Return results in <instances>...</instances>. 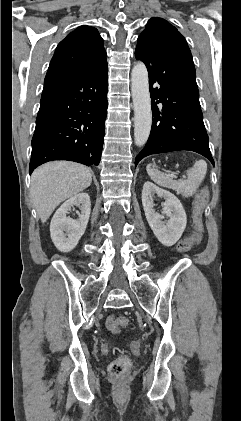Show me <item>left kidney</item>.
<instances>
[{
	"mask_svg": "<svg viewBox=\"0 0 241 421\" xmlns=\"http://www.w3.org/2000/svg\"><path fill=\"white\" fill-rule=\"evenodd\" d=\"M155 194L163 197V214L169 220L163 221L164 215L155 212L153 198ZM142 204L146 219L157 239L165 246L174 245L185 230L187 217L180 200L171 192L161 189L152 182H145L142 190Z\"/></svg>",
	"mask_w": 241,
	"mask_h": 421,
	"instance_id": "left-kidney-1",
	"label": "left kidney"
}]
</instances>
